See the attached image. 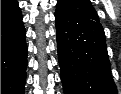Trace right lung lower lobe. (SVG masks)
<instances>
[{
  "label": "right lung lower lobe",
  "instance_id": "1",
  "mask_svg": "<svg viewBox=\"0 0 121 94\" xmlns=\"http://www.w3.org/2000/svg\"><path fill=\"white\" fill-rule=\"evenodd\" d=\"M26 67L25 28L13 1L1 7V94H24Z\"/></svg>",
  "mask_w": 121,
  "mask_h": 94
}]
</instances>
